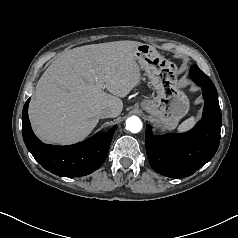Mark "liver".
Wrapping results in <instances>:
<instances>
[{"label":"liver","mask_w":238,"mask_h":238,"mask_svg":"<svg viewBox=\"0 0 238 238\" xmlns=\"http://www.w3.org/2000/svg\"><path fill=\"white\" fill-rule=\"evenodd\" d=\"M136 41H114L71 49L45 70L29 105L35 134L44 142L72 144L86 138L110 108L123 109L120 98L140 84ZM106 88L111 94L105 93Z\"/></svg>","instance_id":"1"}]
</instances>
